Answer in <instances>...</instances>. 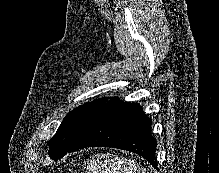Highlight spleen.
Returning <instances> with one entry per match:
<instances>
[{
	"mask_svg": "<svg viewBox=\"0 0 219 173\" xmlns=\"http://www.w3.org/2000/svg\"><path fill=\"white\" fill-rule=\"evenodd\" d=\"M88 173H146V169L134 160L109 154L98 156L97 160L88 165Z\"/></svg>",
	"mask_w": 219,
	"mask_h": 173,
	"instance_id": "obj_1",
	"label": "spleen"
}]
</instances>
